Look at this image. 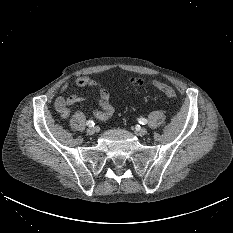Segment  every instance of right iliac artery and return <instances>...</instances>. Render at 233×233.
<instances>
[{
  "label": "right iliac artery",
  "mask_w": 233,
  "mask_h": 233,
  "mask_svg": "<svg viewBox=\"0 0 233 233\" xmlns=\"http://www.w3.org/2000/svg\"><path fill=\"white\" fill-rule=\"evenodd\" d=\"M86 125H88V126H94V122L92 121V120H88L87 122H86Z\"/></svg>",
  "instance_id": "1"
}]
</instances>
